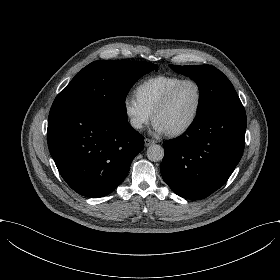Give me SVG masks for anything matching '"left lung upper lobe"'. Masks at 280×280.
Returning a JSON list of instances; mask_svg holds the SVG:
<instances>
[{
  "label": "left lung upper lobe",
  "mask_w": 280,
  "mask_h": 280,
  "mask_svg": "<svg viewBox=\"0 0 280 280\" xmlns=\"http://www.w3.org/2000/svg\"><path fill=\"white\" fill-rule=\"evenodd\" d=\"M169 66L197 83L199 87L197 116L222 105L240 101L229 79L211 65Z\"/></svg>",
  "instance_id": "left-lung-upper-lobe-1"
}]
</instances>
